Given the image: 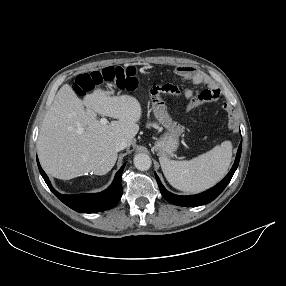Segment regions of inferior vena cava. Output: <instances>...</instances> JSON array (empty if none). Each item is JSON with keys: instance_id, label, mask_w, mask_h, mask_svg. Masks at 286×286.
I'll return each instance as SVG.
<instances>
[{"instance_id": "602c4592", "label": "inferior vena cava", "mask_w": 286, "mask_h": 286, "mask_svg": "<svg viewBox=\"0 0 286 286\" xmlns=\"http://www.w3.org/2000/svg\"><path fill=\"white\" fill-rule=\"evenodd\" d=\"M128 146H129V144H128L127 140L124 138L117 140V142L115 143V148L117 151L123 150V149L127 148Z\"/></svg>"}]
</instances>
